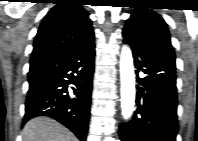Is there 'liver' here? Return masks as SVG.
<instances>
[{"mask_svg": "<svg viewBox=\"0 0 198 141\" xmlns=\"http://www.w3.org/2000/svg\"><path fill=\"white\" fill-rule=\"evenodd\" d=\"M23 141H77L66 127L48 117L29 120L22 130Z\"/></svg>", "mask_w": 198, "mask_h": 141, "instance_id": "6515ba94", "label": "liver"}]
</instances>
